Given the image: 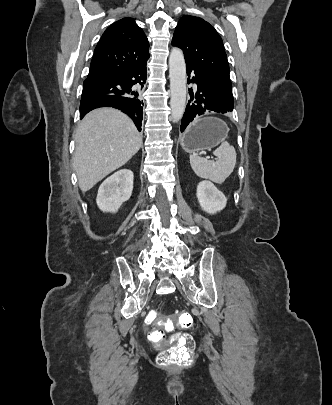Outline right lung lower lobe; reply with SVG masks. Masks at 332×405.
<instances>
[{"instance_id": "right-lung-lower-lobe-1", "label": "right lung lower lobe", "mask_w": 332, "mask_h": 405, "mask_svg": "<svg viewBox=\"0 0 332 405\" xmlns=\"http://www.w3.org/2000/svg\"><path fill=\"white\" fill-rule=\"evenodd\" d=\"M146 62L128 70L94 75L85 79L80 117L83 118L95 108L114 107L126 113L141 131L143 101L139 97V89L143 88L146 82Z\"/></svg>"}]
</instances>
